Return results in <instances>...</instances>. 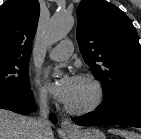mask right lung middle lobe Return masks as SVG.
<instances>
[{
    "instance_id": "obj_1",
    "label": "right lung middle lobe",
    "mask_w": 141,
    "mask_h": 139,
    "mask_svg": "<svg viewBox=\"0 0 141 139\" xmlns=\"http://www.w3.org/2000/svg\"><path fill=\"white\" fill-rule=\"evenodd\" d=\"M29 58H0V92L30 89Z\"/></svg>"
}]
</instances>
